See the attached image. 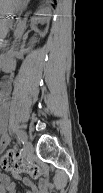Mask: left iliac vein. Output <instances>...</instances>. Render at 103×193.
<instances>
[{"instance_id": "left-iliac-vein-1", "label": "left iliac vein", "mask_w": 103, "mask_h": 193, "mask_svg": "<svg viewBox=\"0 0 103 193\" xmlns=\"http://www.w3.org/2000/svg\"><path fill=\"white\" fill-rule=\"evenodd\" d=\"M24 149L27 156H31L34 150L32 143L28 140L24 142Z\"/></svg>"}]
</instances>
